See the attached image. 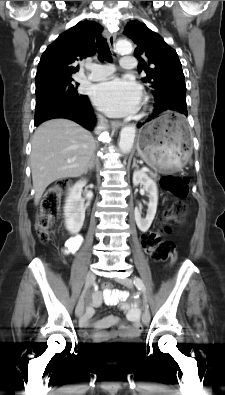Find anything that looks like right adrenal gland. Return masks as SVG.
Wrapping results in <instances>:
<instances>
[{
	"instance_id": "obj_1",
	"label": "right adrenal gland",
	"mask_w": 225,
	"mask_h": 395,
	"mask_svg": "<svg viewBox=\"0 0 225 395\" xmlns=\"http://www.w3.org/2000/svg\"><path fill=\"white\" fill-rule=\"evenodd\" d=\"M95 167V162H94V158H91L89 165L85 171V174L88 172V170H92Z\"/></svg>"
}]
</instances>
